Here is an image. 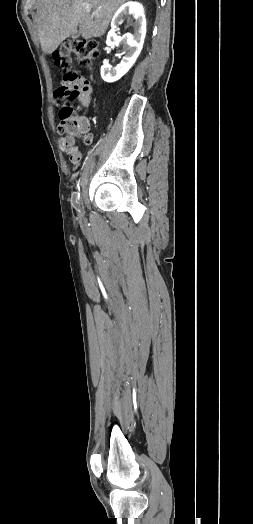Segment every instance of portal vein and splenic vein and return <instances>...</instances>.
I'll return each instance as SVG.
<instances>
[{"mask_svg":"<svg viewBox=\"0 0 253 524\" xmlns=\"http://www.w3.org/2000/svg\"><path fill=\"white\" fill-rule=\"evenodd\" d=\"M84 9H85L87 12H90V11H91V7H90V5H85ZM93 14L98 15V12H94Z\"/></svg>","mask_w":253,"mask_h":524,"instance_id":"1","label":"portal vein and splenic vein"}]
</instances>
